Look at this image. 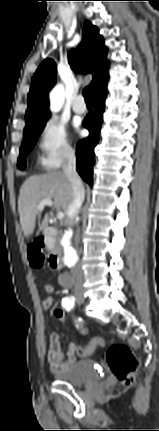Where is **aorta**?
I'll return each instance as SVG.
<instances>
[{
	"label": "aorta",
	"mask_w": 159,
	"mask_h": 431,
	"mask_svg": "<svg viewBox=\"0 0 159 431\" xmlns=\"http://www.w3.org/2000/svg\"><path fill=\"white\" fill-rule=\"evenodd\" d=\"M64 102V90L62 85H57L50 93V107L53 111H58ZM72 234L65 232L62 237L64 248V263L68 266L76 264L78 257L75 249L70 245Z\"/></svg>",
	"instance_id": "aorta-1"
}]
</instances>
